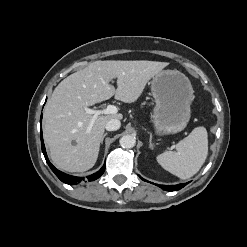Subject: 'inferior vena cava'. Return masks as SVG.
<instances>
[{
    "mask_svg": "<svg viewBox=\"0 0 247 247\" xmlns=\"http://www.w3.org/2000/svg\"><path fill=\"white\" fill-rule=\"evenodd\" d=\"M120 126H121L120 120L111 119L106 123L105 128L107 131H115L118 130Z\"/></svg>",
    "mask_w": 247,
    "mask_h": 247,
    "instance_id": "obj_1",
    "label": "inferior vena cava"
}]
</instances>
